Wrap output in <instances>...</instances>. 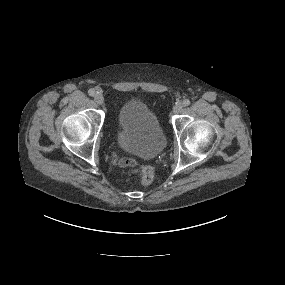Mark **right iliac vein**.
Wrapping results in <instances>:
<instances>
[{
    "instance_id": "right-iliac-vein-1",
    "label": "right iliac vein",
    "mask_w": 285,
    "mask_h": 285,
    "mask_svg": "<svg viewBox=\"0 0 285 285\" xmlns=\"http://www.w3.org/2000/svg\"><path fill=\"white\" fill-rule=\"evenodd\" d=\"M94 100L98 105H102L104 103V97L101 94L95 95Z\"/></svg>"
}]
</instances>
